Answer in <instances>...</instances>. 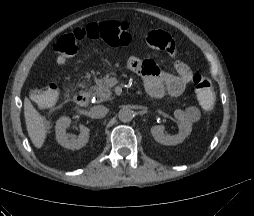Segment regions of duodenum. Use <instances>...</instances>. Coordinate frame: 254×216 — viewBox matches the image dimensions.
<instances>
[{
    "instance_id": "duodenum-1",
    "label": "duodenum",
    "mask_w": 254,
    "mask_h": 216,
    "mask_svg": "<svg viewBox=\"0 0 254 216\" xmlns=\"http://www.w3.org/2000/svg\"><path fill=\"white\" fill-rule=\"evenodd\" d=\"M74 100L79 106H86L89 102V96L85 92H80L75 95Z\"/></svg>"
}]
</instances>
